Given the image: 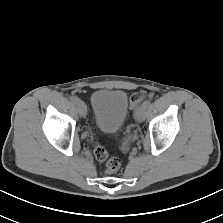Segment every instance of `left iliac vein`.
I'll use <instances>...</instances> for the list:
<instances>
[{"instance_id": "4c4485c4", "label": "left iliac vein", "mask_w": 223, "mask_h": 223, "mask_svg": "<svg viewBox=\"0 0 223 223\" xmlns=\"http://www.w3.org/2000/svg\"><path fill=\"white\" fill-rule=\"evenodd\" d=\"M145 110H146V107H144L143 105L139 106L137 109H136V112H135V119L138 121V122H142L145 118Z\"/></svg>"}]
</instances>
